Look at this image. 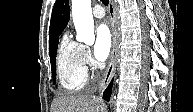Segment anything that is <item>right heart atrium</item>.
Masks as SVG:
<instances>
[{
    "instance_id": "right-heart-atrium-1",
    "label": "right heart atrium",
    "mask_w": 193,
    "mask_h": 112,
    "mask_svg": "<svg viewBox=\"0 0 193 112\" xmlns=\"http://www.w3.org/2000/svg\"><path fill=\"white\" fill-rule=\"evenodd\" d=\"M82 58L86 67H93V60L90 56L89 50L85 46H82Z\"/></svg>"
}]
</instances>
